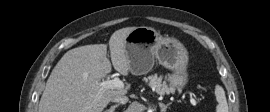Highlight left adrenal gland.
Wrapping results in <instances>:
<instances>
[{
  "instance_id": "a2214340",
  "label": "left adrenal gland",
  "mask_w": 270,
  "mask_h": 112,
  "mask_svg": "<svg viewBox=\"0 0 270 112\" xmlns=\"http://www.w3.org/2000/svg\"><path fill=\"white\" fill-rule=\"evenodd\" d=\"M171 103L164 105L163 103H159V107L161 108V112H166V109L170 106Z\"/></svg>"
}]
</instances>
